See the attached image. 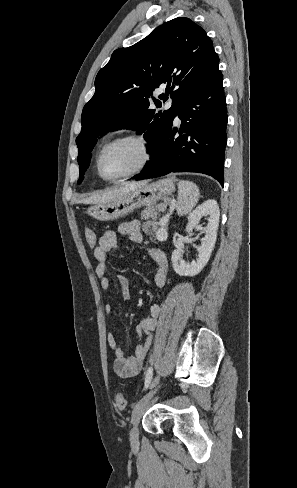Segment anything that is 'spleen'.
<instances>
[{
    "mask_svg": "<svg viewBox=\"0 0 297 488\" xmlns=\"http://www.w3.org/2000/svg\"><path fill=\"white\" fill-rule=\"evenodd\" d=\"M178 188L177 213L184 215L198 202L199 189L194 183L183 180L178 181Z\"/></svg>",
    "mask_w": 297,
    "mask_h": 488,
    "instance_id": "obj_1",
    "label": "spleen"
}]
</instances>
